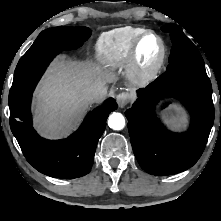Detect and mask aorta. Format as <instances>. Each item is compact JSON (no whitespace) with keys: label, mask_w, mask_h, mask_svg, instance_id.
Wrapping results in <instances>:
<instances>
[{"label":"aorta","mask_w":221,"mask_h":221,"mask_svg":"<svg viewBox=\"0 0 221 221\" xmlns=\"http://www.w3.org/2000/svg\"><path fill=\"white\" fill-rule=\"evenodd\" d=\"M108 125L113 130H122L125 126V118L121 113L114 112L108 118Z\"/></svg>","instance_id":"762f6f07"}]
</instances>
